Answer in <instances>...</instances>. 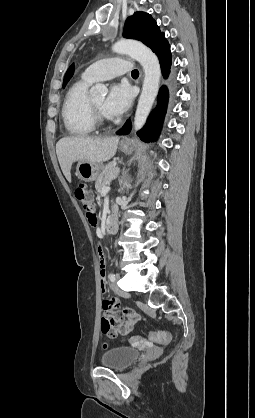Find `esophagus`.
Returning a JSON list of instances; mask_svg holds the SVG:
<instances>
[{
  "label": "esophagus",
  "mask_w": 255,
  "mask_h": 418,
  "mask_svg": "<svg viewBox=\"0 0 255 418\" xmlns=\"http://www.w3.org/2000/svg\"><path fill=\"white\" fill-rule=\"evenodd\" d=\"M126 140H125V138H123L122 140H121V142L123 143V142H125Z\"/></svg>",
  "instance_id": "34e87169"
}]
</instances>
